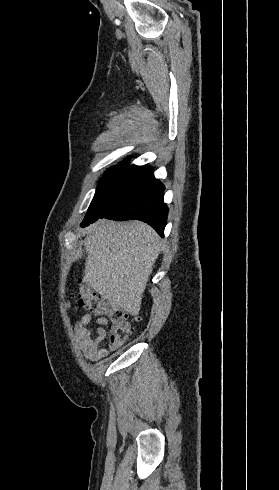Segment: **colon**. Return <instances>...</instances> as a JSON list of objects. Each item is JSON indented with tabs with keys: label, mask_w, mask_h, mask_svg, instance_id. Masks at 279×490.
<instances>
[{
	"label": "colon",
	"mask_w": 279,
	"mask_h": 490,
	"mask_svg": "<svg viewBox=\"0 0 279 490\" xmlns=\"http://www.w3.org/2000/svg\"><path fill=\"white\" fill-rule=\"evenodd\" d=\"M79 294V301L91 315L106 318L109 321L108 336L111 349L122 347L134 333V327L129 323L127 314L122 309L105 301L89 285L81 286ZM74 302V297L69 296L66 300V306L72 308Z\"/></svg>",
	"instance_id": "1"
}]
</instances>
